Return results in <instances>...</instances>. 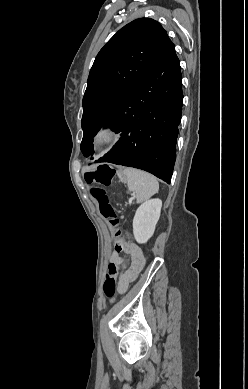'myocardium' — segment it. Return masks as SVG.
Masks as SVG:
<instances>
[{"mask_svg":"<svg viewBox=\"0 0 248 389\" xmlns=\"http://www.w3.org/2000/svg\"><path fill=\"white\" fill-rule=\"evenodd\" d=\"M118 138L116 129L111 125L101 126L95 135V145L98 147H107L114 143Z\"/></svg>","mask_w":248,"mask_h":389,"instance_id":"myocardium-1","label":"myocardium"}]
</instances>
